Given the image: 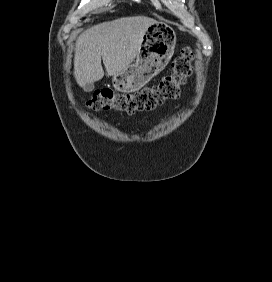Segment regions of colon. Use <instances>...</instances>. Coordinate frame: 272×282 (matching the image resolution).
Masks as SVG:
<instances>
[{"instance_id":"colon-1","label":"colon","mask_w":272,"mask_h":282,"mask_svg":"<svg viewBox=\"0 0 272 282\" xmlns=\"http://www.w3.org/2000/svg\"><path fill=\"white\" fill-rule=\"evenodd\" d=\"M193 52L189 47L183 48L172 62V70L155 85L145 87L136 93H116L110 88L96 91L87 102L95 111L117 110L126 113L152 110L167 100L179 95L180 87L191 75Z\"/></svg>"}]
</instances>
